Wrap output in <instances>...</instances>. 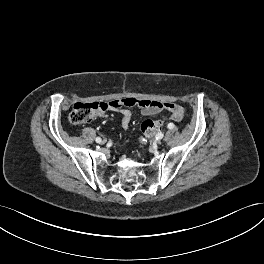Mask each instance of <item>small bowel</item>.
Listing matches in <instances>:
<instances>
[{
    "mask_svg": "<svg viewBox=\"0 0 264 264\" xmlns=\"http://www.w3.org/2000/svg\"><path fill=\"white\" fill-rule=\"evenodd\" d=\"M133 99L135 102L132 106L139 107L141 113L145 116H152L163 110H166L171 113V119L174 121H180L183 118L184 110L178 104L155 100H137L135 98ZM119 111L122 115V126L124 128H128L132 119L131 110L129 108H119Z\"/></svg>",
    "mask_w": 264,
    "mask_h": 264,
    "instance_id": "obj_1",
    "label": "small bowel"
}]
</instances>
